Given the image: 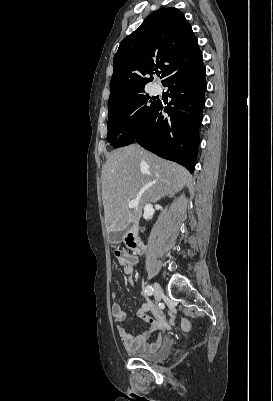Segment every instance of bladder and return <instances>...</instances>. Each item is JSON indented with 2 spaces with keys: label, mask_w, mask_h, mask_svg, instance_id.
<instances>
[{
  "label": "bladder",
  "mask_w": 273,
  "mask_h": 401,
  "mask_svg": "<svg viewBox=\"0 0 273 401\" xmlns=\"http://www.w3.org/2000/svg\"><path fill=\"white\" fill-rule=\"evenodd\" d=\"M173 352V342L170 339H163L160 349L154 354H137L136 358L146 362H160L166 360Z\"/></svg>",
  "instance_id": "bladder-1"
}]
</instances>
